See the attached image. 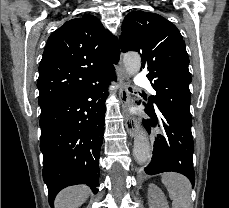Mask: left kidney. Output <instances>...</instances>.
<instances>
[{
    "label": "left kidney",
    "mask_w": 229,
    "mask_h": 208,
    "mask_svg": "<svg viewBox=\"0 0 229 208\" xmlns=\"http://www.w3.org/2000/svg\"><path fill=\"white\" fill-rule=\"evenodd\" d=\"M148 202L150 208H169L168 202L160 188L155 184H149L148 188Z\"/></svg>",
    "instance_id": "5707ae66"
}]
</instances>
